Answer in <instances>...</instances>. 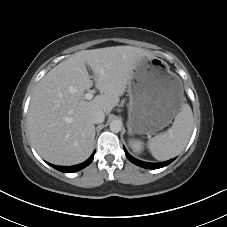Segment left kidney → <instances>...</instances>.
Returning a JSON list of instances; mask_svg holds the SVG:
<instances>
[{"label":"left kidney","instance_id":"5707ae66","mask_svg":"<svg viewBox=\"0 0 227 227\" xmlns=\"http://www.w3.org/2000/svg\"><path fill=\"white\" fill-rule=\"evenodd\" d=\"M130 148L132 149V151L136 154H140L141 151L143 150V145L142 142L139 140H129L128 142Z\"/></svg>","mask_w":227,"mask_h":227}]
</instances>
